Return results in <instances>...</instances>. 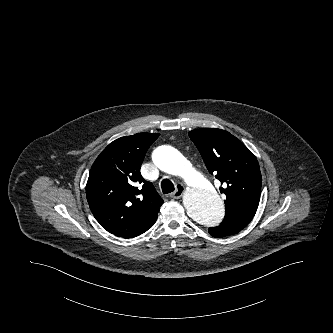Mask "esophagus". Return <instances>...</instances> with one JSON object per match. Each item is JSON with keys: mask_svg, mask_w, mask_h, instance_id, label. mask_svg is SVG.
<instances>
[{"mask_svg": "<svg viewBox=\"0 0 333 333\" xmlns=\"http://www.w3.org/2000/svg\"><path fill=\"white\" fill-rule=\"evenodd\" d=\"M185 191V187L182 184H177L176 190L170 195L172 199H179Z\"/></svg>", "mask_w": 333, "mask_h": 333, "instance_id": "34e87169", "label": "esophagus"}]
</instances>
